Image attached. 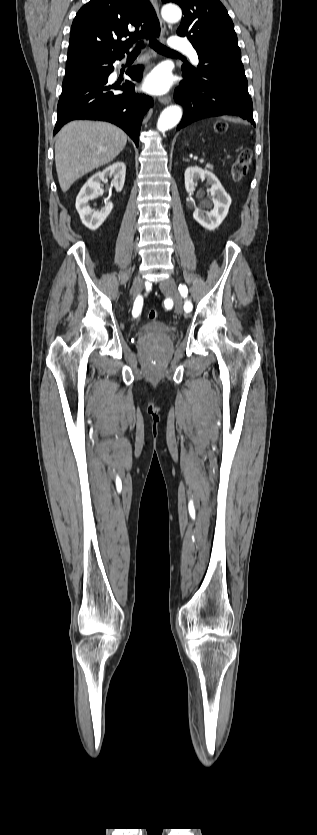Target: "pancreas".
Wrapping results in <instances>:
<instances>
[{"mask_svg": "<svg viewBox=\"0 0 317 835\" xmlns=\"http://www.w3.org/2000/svg\"><path fill=\"white\" fill-rule=\"evenodd\" d=\"M206 168H207V169L212 170V169H213V165H211V164H209V163H208V164H206Z\"/></svg>", "mask_w": 317, "mask_h": 835, "instance_id": "1", "label": "pancreas"}]
</instances>
